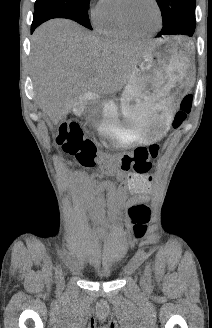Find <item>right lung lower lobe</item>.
<instances>
[{
  "label": "right lung lower lobe",
  "mask_w": 212,
  "mask_h": 328,
  "mask_svg": "<svg viewBox=\"0 0 212 328\" xmlns=\"http://www.w3.org/2000/svg\"><path fill=\"white\" fill-rule=\"evenodd\" d=\"M51 19V16H45L42 14H34L33 16V22L31 25V33L35 30L36 27H38L41 23Z\"/></svg>",
  "instance_id": "right-lung-lower-lobe-1"
}]
</instances>
